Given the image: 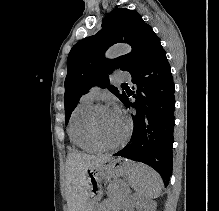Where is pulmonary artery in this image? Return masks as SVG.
<instances>
[{"label": "pulmonary artery", "mask_w": 219, "mask_h": 211, "mask_svg": "<svg viewBox=\"0 0 219 211\" xmlns=\"http://www.w3.org/2000/svg\"><path fill=\"white\" fill-rule=\"evenodd\" d=\"M116 74H121V69H116ZM115 80H130V75H115ZM99 92V88L98 87H92L88 90L87 93H85L83 96H82V99L85 100V101H89L91 102L94 97L98 94Z\"/></svg>", "instance_id": "obj_1"}]
</instances>
